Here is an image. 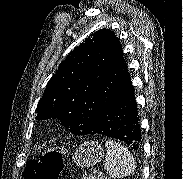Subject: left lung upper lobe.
Masks as SVG:
<instances>
[{"label": "left lung upper lobe", "instance_id": "5c2ea615", "mask_svg": "<svg viewBox=\"0 0 183 179\" xmlns=\"http://www.w3.org/2000/svg\"><path fill=\"white\" fill-rule=\"evenodd\" d=\"M123 64L122 46L112 31L91 34L49 80L37 118H58L75 135L90 134L113 103Z\"/></svg>", "mask_w": 183, "mask_h": 179}]
</instances>
